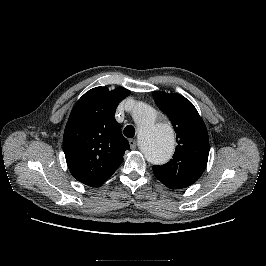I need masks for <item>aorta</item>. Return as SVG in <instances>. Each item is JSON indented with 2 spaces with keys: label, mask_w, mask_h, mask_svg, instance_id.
<instances>
[{
  "label": "aorta",
  "mask_w": 266,
  "mask_h": 266,
  "mask_svg": "<svg viewBox=\"0 0 266 266\" xmlns=\"http://www.w3.org/2000/svg\"><path fill=\"white\" fill-rule=\"evenodd\" d=\"M132 115L138 126L139 145L146 159L154 164L168 161L174 151L172 127L159 120L157 112L142 102L135 103Z\"/></svg>",
  "instance_id": "1"
}]
</instances>
